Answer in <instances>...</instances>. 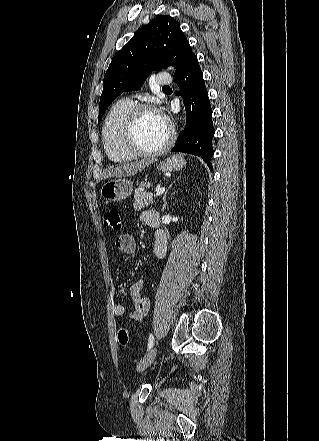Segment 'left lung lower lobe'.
<instances>
[{
  "mask_svg": "<svg viewBox=\"0 0 319 441\" xmlns=\"http://www.w3.org/2000/svg\"><path fill=\"white\" fill-rule=\"evenodd\" d=\"M174 81L181 89L178 94L184 97L187 121L172 151L199 156L212 170L210 163L213 156L214 136L212 109L196 56L174 76Z\"/></svg>",
  "mask_w": 319,
  "mask_h": 441,
  "instance_id": "0a47b994",
  "label": "left lung lower lobe"
}]
</instances>
